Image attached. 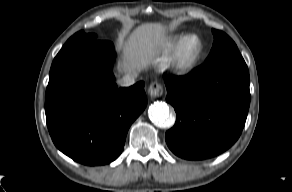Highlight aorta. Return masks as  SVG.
<instances>
[{
	"mask_svg": "<svg viewBox=\"0 0 292 192\" xmlns=\"http://www.w3.org/2000/svg\"><path fill=\"white\" fill-rule=\"evenodd\" d=\"M150 120L160 128H167L173 125V120L169 117V107L164 102H154L148 109Z\"/></svg>",
	"mask_w": 292,
	"mask_h": 192,
	"instance_id": "aorta-1",
	"label": "aorta"
}]
</instances>
